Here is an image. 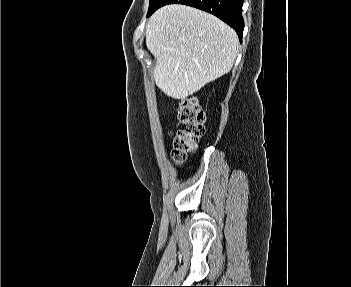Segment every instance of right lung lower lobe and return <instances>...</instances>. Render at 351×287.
<instances>
[{
	"instance_id": "right-lung-lower-lobe-1",
	"label": "right lung lower lobe",
	"mask_w": 351,
	"mask_h": 287,
	"mask_svg": "<svg viewBox=\"0 0 351 287\" xmlns=\"http://www.w3.org/2000/svg\"><path fill=\"white\" fill-rule=\"evenodd\" d=\"M167 4H184L211 13L231 26L237 32L239 39H242L243 0H161L150 14Z\"/></svg>"
}]
</instances>
